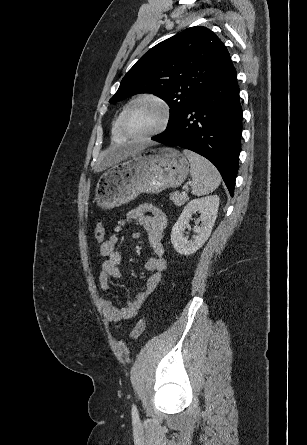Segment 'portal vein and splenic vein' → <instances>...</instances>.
<instances>
[{"instance_id": "18ae733b", "label": "portal vein and splenic vein", "mask_w": 307, "mask_h": 445, "mask_svg": "<svg viewBox=\"0 0 307 445\" xmlns=\"http://www.w3.org/2000/svg\"><path fill=\"white\" fill-rule=\"evenodd\" d=\"M183 188H188L187 184H185V186H183ZM183 194H186V192H183Z\"/></svg>"}]
</instances>
